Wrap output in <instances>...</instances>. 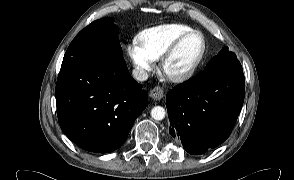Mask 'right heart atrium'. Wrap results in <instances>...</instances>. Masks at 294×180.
I'll list each match as a JSON object with an SVG mask.
<instances>
[{
    "instance_id": "1",
    "label": "right heart atrium",
    "mask_w": 294,
    "mask_h": 180,
    "mask_svg": "<svg viewBox=\"0 0 294 180\" xmlns=\"http://www.w3.org/2000/svg\"><path fill=\"white\" fill-rule=\"evenodd\" d=\"M127 54L134 64L137 74L144 78L152 70L154 60L137 40H132L126 47Z\"/></svg>"
}]
</instances>
